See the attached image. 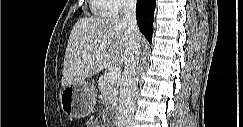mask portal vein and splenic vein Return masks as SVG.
Returning <instances> with one entry per match:
<instances>
[{"mask_svg":"<svg viewBox=\"0 0 243 127\" xmlns=\"http://www.w3.org/2000/svg\"><path fill=\"white\" fill-rule=\"evenodd\" d=\"M121 76V70L120 68H112L110 71L107 73V78L108 80H117Z\"/></svg>","mask_w":243,"mask_h":127,"instance_id":"1","label":"portal vein and splenic vein"}]
</instances>
